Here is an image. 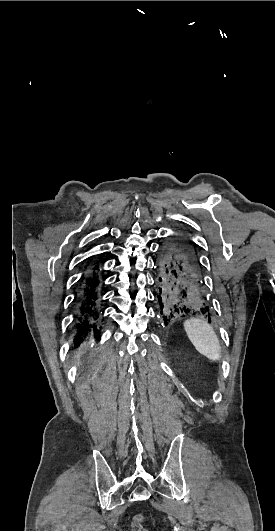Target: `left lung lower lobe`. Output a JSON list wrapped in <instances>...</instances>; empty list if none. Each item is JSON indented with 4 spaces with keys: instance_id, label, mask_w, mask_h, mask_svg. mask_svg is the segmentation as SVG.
I'll return each mask as SVG.
<instances>
[{
    "instance_id": "0a47b994",
    "label": "left lung lower lobe",
    "mask_w": 275,
    "mask_h": 531,
    "mask_svg": "<svg viewBox=\"0 0 275 531\" xmlns=\"http://www.w3.org/2000/svg\"><path fill=\"white\" fill-rule=\"evenodd\" d=\"M157 300L167 324L176 314H198L211 321L200 263L191 242L178 235L163 244L157 260Z\"/></svg>"
}]
</instances>
